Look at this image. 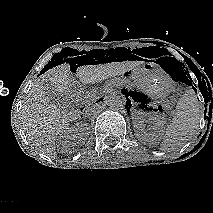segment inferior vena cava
Instances as JSON below:
<instances>
[{"label":"inferior vena cava","mask_w":213,"mask_h":213,"mask_svg":"<svg viewBox=\"0 0 213 213\" xmlns=\"http://www.w3.org/2000/svg\"><path fill=\"white\" fill-rule=\"evenodd\" d=\"M95 112V109L93 107H87L84 111V115L89 116Z\"/></svg>","instance_id":"1"}]
</instances>
